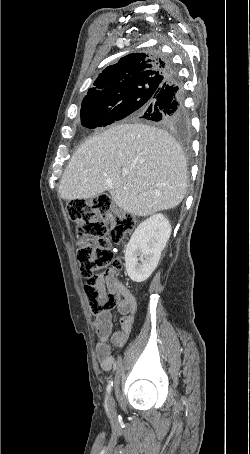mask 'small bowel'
Here are the masks:
<instances>
[{"label":"small bowel","instance_id":"c3829d8e","mask_svg":"<svg viewBox=\"0 0 250 454\" xmlns=\"http://www.w3.org/2000/svg\"><path fill=\"white\" fill-rule=\"evenodd\" d=\"M121 299L118 303V312L122 315L120 328L112 332V315L110 312L99 314L95 320V332L98 337L96 344V356L104 370H109L114 363L112 347H123L128 340L130 331L135 321L137 309L136 299L130 290L120 285Z\"/></svg>","mask_w":250,"mask_h":454}]
</instances>
